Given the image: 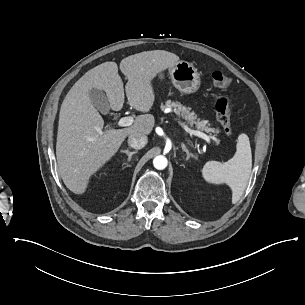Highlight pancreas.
I'll return each mask as SVG.
<instances>
[{
	"label": "pancreas",
	"mask_w": 305,
	"mask_h": 305,
	"mask_svg": "<svg viewBox=\"0 0 305 305\" xmlns=\"http://www.w3.org/2000/svg\"><path fill=\"white\" fill-rule=\"evenodd\" d=\"M164 108H172L177 116L184 118V120L190 125V127L196 126L200 131L206 133H218L219 130H214L208 125V121H200V119L195 116L194 112H190V108L182 104H176L175 102L168 101Z\"/></svg>",
	"instance_id": "pancreas-1"
}]
</instances>
